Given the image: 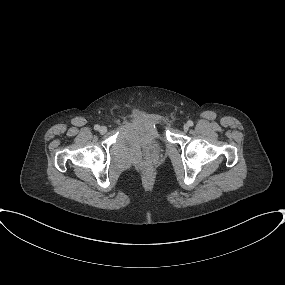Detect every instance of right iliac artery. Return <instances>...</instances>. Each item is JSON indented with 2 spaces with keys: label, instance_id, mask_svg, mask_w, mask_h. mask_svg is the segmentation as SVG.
<instances>
[{
  "label": "right iliac artery",
  "instance_id": "obj_1",
  "mask_svg": "<svg viewBox=\"0 0 285 285\" xmlns=\"http://www.w3.org/2000/svg\"><path fill=\"white\" fill-rule=\"evenodd\" d=\"M99 128H100V126L98 124L94 126L95 130H99Z\"/></svg>",
  "mask_w": 285,
  "mask_h": 285
}]
</instances>
